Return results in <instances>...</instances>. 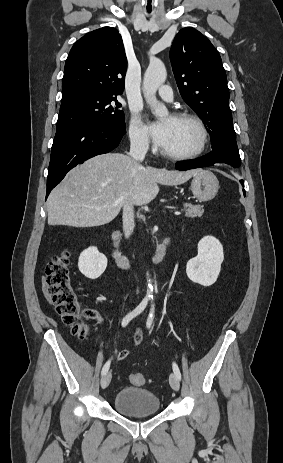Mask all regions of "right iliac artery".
<instances>
[{
	"label": "right iliac artery",
	"mask_w": 283,
	"mask_h": 463,
	"mask_svg": "<svg viewBox=\"0 0 283 463\" xmlns=\"http://www.w3.org/2000/svg\"><path fill=\"white\" fill-rule=\"evenodd\" d=\"M148 300L143 299L142 302L129 314H127L122 320V326L125 327L133 318L139 315L147 306ZM110 367V360H108L102 368L101 374L104 375Z\"/></svg>",
	"instance_id": "right-iliac-artery-1"
}]
</instances>
